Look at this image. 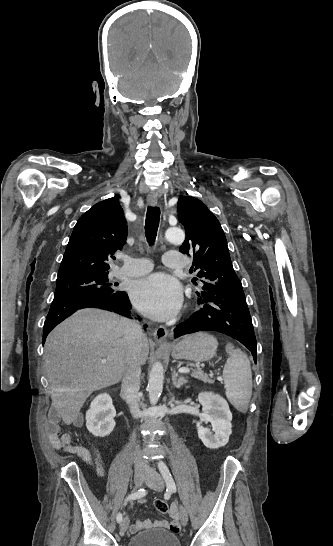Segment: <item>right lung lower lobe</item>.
Returning a JSON list of instances; mask_svg holds the SVG:
<instances>
[{
    "instance_id": "right-lung-lower-lobe-1",
    "label": "right lung lower lobe",
    "mask_w": 333,
    "mask_h": 546,
    "mask_svg": "<svg viewBox=\"0 0 333 546\" xmlns=\"http://www.w3.org/2000/svg\"><path fill=\"white\" fill-rule=\"evenodd\" d=\"M89 307L113 311L129 318L132 308L128 295L124 291H117L113 295L86 294L54 298L43 327V343L56 325L78 309ZM139 320L141 319L139 318Z\"/></svg>"
}]
</instances>
